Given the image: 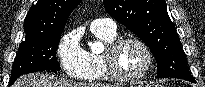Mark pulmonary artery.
Instances as JSON below:
<instances>
[{
    "instance_id": "e3ab8cb5",
    "label": "pulmonary artery",
    "mask_w": 205,
    "mask_h": 87,
    "mask_svg": "<svg viewBox=\"0 0 205 87\" xmlns=\"http://www.w3.org/2000/svg\"><path fill=\"white\" fill-rule=\"evenodd\" d=\"M90 29L94 31L116 32V24L111 19H95L91 22Z\"/></svg>"
}]
</instances>
